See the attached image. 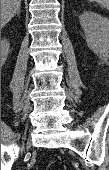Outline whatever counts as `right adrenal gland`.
Wrapping results in <instances>:
<instances>
[{"label":"right adrenal gland","instance_id":"1","mask_svg":"<svg viewBox=\"0 0 109 170\" xmlns=\"http://www.w3.org/2000/svg\"><path fill=\"white\" fill-rule=\"evenodd\" d=\"M17 14L20 15V10H18Z\"/></svg>","mask_w":109,"mask_h":170}]
</instances>
